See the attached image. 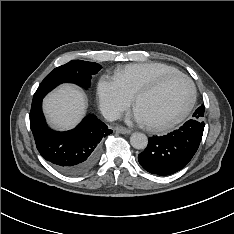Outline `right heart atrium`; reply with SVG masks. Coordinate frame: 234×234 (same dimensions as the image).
Segmentation results:
<instances>
[{
    "instance_id": "right-heart-atrium-1",
    "label": "right heart atrium",
    "mask_w": 234,
    "mask_h": 234,
    "mask_svg": "<svg viewBox=\"0 0 234 234\" xmlns=\"http://www.w3.org/2000/svg\"><path fill=\"white\" fill-rule=\"evenodd\" d=\"M98 97L103 113L115 119L132 103V97L124 90L115 76L103 75L98 82Z\"/></svg>"
}]
</instances>
